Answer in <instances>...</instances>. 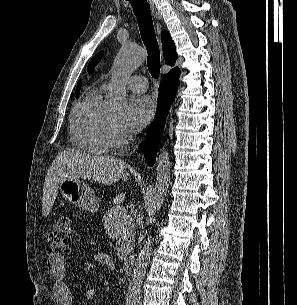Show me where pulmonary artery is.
I'll return each mask as SVG.
<instances>
[{"label":"pulmonary artery","mask_w":297,"mask_h":305,"mask_svg":"<svg viewBox=\"0 0 297 305\" xmlns=\"http://www.w3.org/2000/svg\"><path fill=\"white\" fill-rule=\"evenodd\" d=\"M126 84L130 90L135 92H145L148 89V82L144 76L134 75L126 80ZM107 83H103L101 88L105 89Z\"/></svg>","instance_id":"obj_1"}]
</instances>
